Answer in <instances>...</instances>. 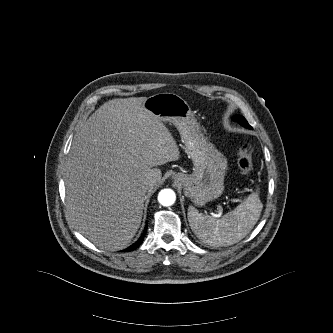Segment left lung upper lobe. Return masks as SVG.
Here are the masks:
<instances>
[{"mask_svg": "<svg viewBox=\"0 0 333 333\" xmlns=\"http://www.w3.org/2000/svg\"><path fill=\"white\" fill-rule=\"evenodd\" d=\"M233 121L238 122L244 127L250 128V125L247 123L246 119L241 115L234 116Z\"/></svg>", "mask_w": 333, "mask_h": 333, "instance_id": "1", "label": "left lung upper lobe"}]
</instances>
